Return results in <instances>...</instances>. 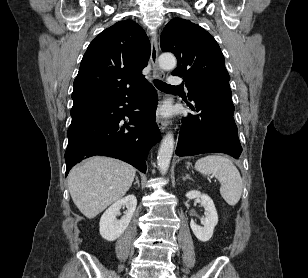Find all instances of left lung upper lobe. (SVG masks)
Listing matches in <instances>:
<instances>
[{
    "label": "left lung upper lobe",
    "mask_w": 308,
    "mask_h": 278,
    "mask_svg": "<svg viewBox=\"0 0 308 278\" xmlns=\"http://www.w3.org/2000/svg\"><path fill=\"white\" fill-rule=\"evenodd\" d=\"M161 49L177 58L173 75L183 77L189 99L203 89L228 83L225 59L215 39L189 20L174 18L164 28Z\"/></svg>",
    "instance_id": "obj_1"
}]
</instances>
